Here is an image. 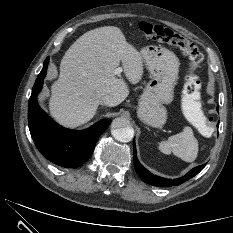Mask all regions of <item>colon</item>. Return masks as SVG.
I'll return each instance as SVG.
<instances>
[{
	"label": "colon",
	"mask_w": 233,
	"mask_h": 233,
	"mask_svg": "<svg viewBox=\"0 0 233 233\" xmlns=\"http://www.w3.org/2000/svg\"><path fill=\"white\" fill-rule=\"evenodd\" d=\"M139 28L146 37L176 46L187 56L189 69L183 88V111L201 133L211 135L213 132L212 119L203 113L200 104L201 83L196 69L201 64L203 55L198 46L184 36L159 24L142 21Z\"/></svg>",
	"instance_id": "obj_1"
}]
</instances>
